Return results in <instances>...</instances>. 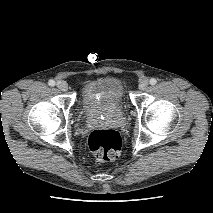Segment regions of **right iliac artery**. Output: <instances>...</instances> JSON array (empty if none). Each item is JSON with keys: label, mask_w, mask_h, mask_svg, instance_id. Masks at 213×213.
<instances>
[{"label": "right iliac artery", "mask_w": 213, "mask_h": 213, "mask_svg": "<svg viewBox=\"0 0 213 213\" xmlns=\"http://www.w3.org/2000/svg\"><path fill=\"white\" fill-rule=\"evenodd\" d=\"M48 84H49V86H54L55 85V81L51 79V80L48 81Z\"/></svg>", "instance_id": "82829eb1"}]
</instances>
